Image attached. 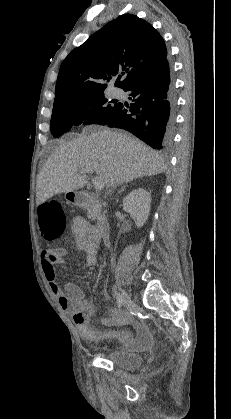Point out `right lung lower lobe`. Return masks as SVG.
<instances>
[{"instance_id":"right-lung-lower-lobe-1","label":"right lung lower lobe","mask_w":231,"mask_h":419,"mask_svg":"<svg viewBox=\"0 0 231 419\" xmlns=\"http://www.w3.org/2000/svg\"><path fill=\"white\" fill-rule=\"evenodd\" d=\"M123 90L130 92L135 103H120L100 124L123 128L155 149H166L173 137L176 107L167 58Z\"/></svg>"}]
</instances>
